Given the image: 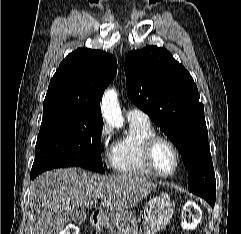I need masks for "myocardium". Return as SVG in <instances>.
Here are the masks:
<instances>
[{
    "instance_id": "f54148a6",
    "label": "myocardium",
    "mask_w": 241,
    "mask_h": 234,
    "mask_svg": "<svg viewBox=\"0 0 241 234\" xmlns=\"http://www.w3.org/2000/svg\"><path fill=\"white\" fill-rule=\"evenodd\" d=\"M159 143H166L167 145H169L175 154V158H176L175 167L170 172H163L156 165L154 153H155V149ZM143 159H144L146 166L155 175L160 176V177H170V176L174 175L177 172V170L179 169L180 164H181V154H180V150L177 147V145L170 138H168L166 136L158 135V134H154V135L150 136L145 141L144 146H143Z\"/></svg>"
}]
</instances>
